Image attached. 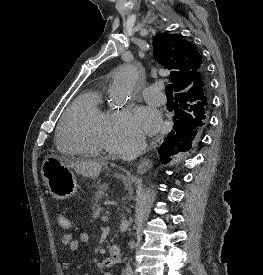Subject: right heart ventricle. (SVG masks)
Instances as JSON below:
<instances>
[{"mask_svg":"<svg viewBox=\"0 0 263 275\" xmlns=\"http://www.w3.org/2000/svg\"><path fill=\"white\" fill-rule=\"evenodd\" d=\"M110 113L102 107L99 90L82 92L65 111L57 132L58 149L69 155H99L106 148Z\"/></svg>","mask_w":263,"mask_h":275,"instance_id":"obj_1","label":"right heart ventricle"}]
</instances>
